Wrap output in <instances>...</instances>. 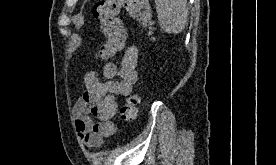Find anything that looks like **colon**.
Segmentation results:
<instances>
[{"label": "colon", "mask_w": 276, "mask_h": 165, "mask_svg": "<svg viewBox=\"0 0 276 165\" xmlns=\"http://www.w3.org/2000/svg\"><path fill=\"white\" fill-rule=\"evenodd\" d=\"M126 11L136 20L142 32L153 39V23L148 0H99L93 8V15L98 20L100 32L104 38L98 50V57L107 59L122 50L126 41V32L119 18ZM139 97H128L119 109L123 122H131L137 116Z\"/></svg>", "instance_id": "5ec220e1"}]
</instances>
